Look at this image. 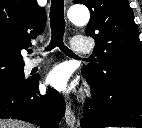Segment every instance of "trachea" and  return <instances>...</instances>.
Masks as SVG:
<instances>
[{
  "mask_svg": "<svg viewBox=\"0 0 142 128\" xmlns=\"http://www.w3.org/2000/svg\"><path fill=\"white\" fill-rule=\"evenodd\" d=\"M50 25L52 36L51 42L46 50H52L57 46L65 54L76 57V55L63 43V35L65 31L64 0H51ZM28 52L32 53L33 50L30 49Z\"/></svg>",
  "mask_w": 142,
  "mask_h": 128,
  "instance_id": "obj_1",
  "label": "trachea"
}]
</instances>
